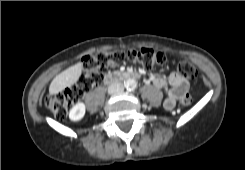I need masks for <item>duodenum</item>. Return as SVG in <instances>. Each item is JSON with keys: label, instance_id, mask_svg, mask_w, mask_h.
Here are the masks:
<instances>
[{"label": "duodenum", "instance_id": "1", "mask_svg": "<svg viewBox=\"0 0 245 170\" xmlns=\"http://www.w3.org/2000/svg\"><path fill=\"white\" fill-rule=\"evenodd\" d=\"M140 78V74L135 72H112L104 77V81L106 83H112L123 79L139 80Z\"/></svg>", "mask_w": 245, "mask_h": 170}]
</instances>
